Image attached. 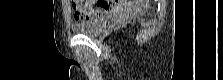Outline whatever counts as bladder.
<instances>
[{
  "instance_id": "bladder-1",
  "label": "bladder",
  "mask_w": 223,
  "mask_h": 80,
  "mask_svg": "<svg viewBox=\"0 0 223 80\" xmlns=\"http://www.w3.org/2000/svg\"><path fill=\"white\" fill-rule=\"evenodd\" d=\"M110 18L111 15L102 14L100 16L72 24V30L78 35L88 37L97 36L107 27Z\"/></svg>"
}]
</instances>
